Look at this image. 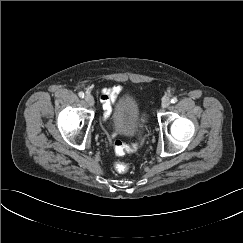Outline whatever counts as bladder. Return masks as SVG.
Returning <instances> with one entry per match:
<instances>
[{
  "mask_svg": "<svg viewBox=\"0 0 243 243\" xmlns=\"http://www.w3.org/2000/svg\"><path fill=\"white\" fill-rule=\"evenodd\" d=\"M112 122L122 136H132L140 124V109L134 96L126 94L119 98L112 111Z\"/></svg>",
  "mask_w": 243,
  "mask_h": 243,
  "instance_id": "1",
  "label": "bladder"
}]
</instances>
